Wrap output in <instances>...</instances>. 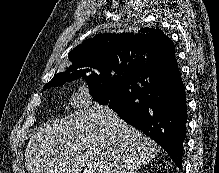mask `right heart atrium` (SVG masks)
Segmentation results:
<instances>
[{
	"mask_svg": "<svg viewBox=\"0 0 219 173\" xmlns=\"http://www.w3.org/2000/svg\"><path fill=\"white\" fill-rule=\"evenodd\" d=\"M93 99V90L85 84L76 86L70 95L71 104L79 110L89 108L93 103Z\"/></svg>",
	"mask_w": 219,
	"mask_h": 173,
	"instance_id": "right-heart-atrium-1",
	"label": "right heart atrium"
}]
</instances>
